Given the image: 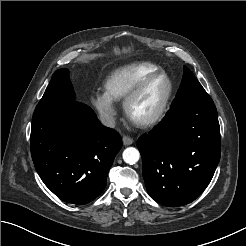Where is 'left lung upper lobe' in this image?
<instances>
[{
    "label": "left lung upper lobe",
    "instance_id": "left-lung-upper-lobe-1",
    "mask_svg": "<svg viewBox=\"0 0 246 246\" xmlns=\"http://www.w3.org/2000/svg\"><path fill=\"white\" fill-rule=\"evenodd\" d=\"M207 95V92L196 79L194 74L186 66H184L182 82L177 92L176 98L171 105V108L185 101L201 98Z\"/></svg>",
    "mask_w": 246,
    "mask_h": 246
}]
</instances>
